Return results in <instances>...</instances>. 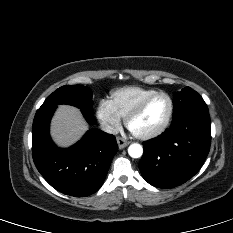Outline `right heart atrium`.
Instances as JSON below:
<instances>
[{"label":"right heart atrium","mask_w":233,"mask_h":233,"mask_svg":"<svg viewBox=\"0 0 233 233\" xmlns=\"http://www.w3.org/2000/svg\"><path fill=\"white\" fill-rule=\"evenodd\" d=\"M96 116L103 128L109 133H116L121 127V117L107 100L100 101L96 109Z\"/></svg>","instance_id":"right-heart-atrium-1"}]
</instances>
